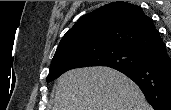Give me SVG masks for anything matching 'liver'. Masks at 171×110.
Segmentation results:
<instances>
[{
	"mask_svg": "<svg viewBox=\"0 0 171 110\" xmlns=\"http://www.w3.org/2000/svg\"><path fill=\"white\" fill-rule=\"evenodd\" d=\"M55 90L52 110H152L131 79L108 67L69 70Z\"/></svg>",
	"mask_w": 171,
	"mask_h": 110,
	"instance_id": "obj_1",
	"label": "liver"
}]
</instances>
